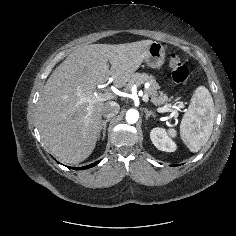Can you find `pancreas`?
I'll list each match as a JSON object with an SVG mask.
<instances>
[{"instance_id": "1", "label": "pancreas", "mask_w": 236, "mask_h": 236, "mask_svg": "<svg viewBox=\"0 0 236 236\" xmlns=\"http://www.w3.org/2000/svg\"><path fill=\"white\" fill-rule=\"evenodd\" d=\"M146 82L149 83L150 86L145 90V92L147 95L151 96V101L156 106L167 104V102L171 100L165 93L158 91L160 87L154 76L148 75L146 73H134L127 84V89H129L133 84L141 85Z\"/></svg>"}]
</instances>
